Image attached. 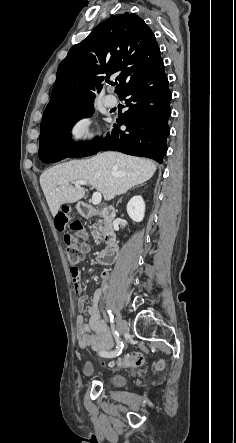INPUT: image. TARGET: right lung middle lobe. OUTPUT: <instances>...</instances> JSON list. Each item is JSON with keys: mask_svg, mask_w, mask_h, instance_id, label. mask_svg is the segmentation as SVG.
<instances>
[{"mask_svg": "<svg viewBox=\"0 0 236 443\" xmlns=\"http://www.w3.org/2000/svg\"><path fill=\"white\" fill-rule=\"evenodd\" d=\"M94 109L90 103L81 108L51 116L42 120L40 126V149L54 145H72L71 129L75 123L92 115Z\"/></svg>", "mask_w": 236, "mask_h": 443, "instance_id": "obj_1", "label": "right lung middle lobe"}]
</instances>
